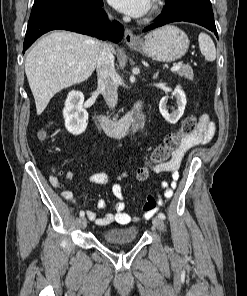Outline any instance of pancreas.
Instances as JSON below:
<instances>
[{
  "label": "pancreas",
  "instance_id": "pancreas-1",
  "mask_svg": "<svg viewBox=\"0 0 247 296\" xmlns=\"http://www.w3.org/2000/svg\"><path fill=\"white\" fill-rule=\"evenodd\" d=\"M176 73L181 76L185 77L186 79L192 80L194 77L192 67L188 64L181 65L180 69L176 71Z\"/></svg>",
  "mask_w": 247,
  "mask_h": 296
}]
</instances>
